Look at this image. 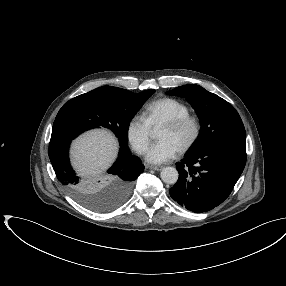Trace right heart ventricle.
<instances>
[{
    "label": "right heart ventricle",
    "instance_id": "right-heart-ventricle-1",
    "mask_svg": "<svg viewBox=\"0 0 286 286\" xmlns=\"http://www.w3.org/2000/svg\"><path fill=\"white\" fill-rule=\"evenodd\" d=\"M190 113V109L184 102L174 98H160L150 102L144 116L152 129L161 127L166 121L184 116Z\"/></svg>",
    "mask_w": 286,
    "mask_h": 286
}]
</instances>
